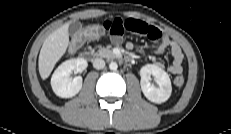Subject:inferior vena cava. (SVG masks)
<instances>
[{
	"label": "inferior vena cava",
	"instance_id": "obj_1",
	"mask_svg": "<svg viewBox=\"0 0 231 134\" xmlns=\"http://www.w3.org/2000/svg\"><path fill=\"white\" fill-rule=\"evenodd\" d=\"M93 67L95 69H103L105 67V61L102 58H96L93 60Z\"/></svg>",
	"mask_w": 231,
	"mask_h": 134
}]
</instances>
